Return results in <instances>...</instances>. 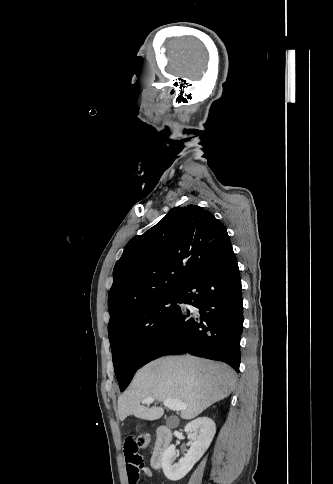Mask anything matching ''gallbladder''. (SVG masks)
Here are the masks:
<instances>
[{"instance_id": "gallbladder-1", "label": "gallbladder", "mask_w": 333, "mask_h": 484, "mask_svg": "<svg viewBox=\"0 0 333 484\" xmlns=\"http://www.w3.org/2000/svg\"><path fill=\"white\" fill-rule=\"evenodd\" d=\"M166 425H167L168 427H171V426H172V425H171V417H169V418L166 420Z\"/></svg>"}]
</instances>
